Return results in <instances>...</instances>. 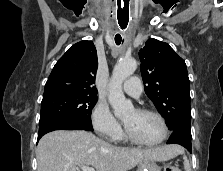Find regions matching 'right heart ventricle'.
<instances>
[{"mask_svg": "<svg viewBox=\"0 0 223 171\" xmlns=\"http://www.w3.org/2000/svg\"><path fill=\"white\" fill-rule=\"evenodd\" d=\"M118 139L123 140L124 139L123 135L120 134V136L118 137Z\"/></svg>", "mask_w": 223, "mask_h": 171, "instance_id": "1", "label": "right heart ventricle"}]
</instances>
